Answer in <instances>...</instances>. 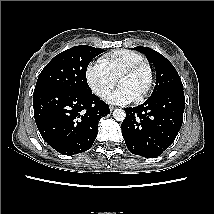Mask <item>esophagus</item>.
Instances as JSON below:
<instances>
[{
	"mask_svg": "<svg viewBox=\"0 0 214 214\" xmlns=\"http://www.w3.org/2000/svg\"><path fill=\"white\" fill-rule=\"evenodd\" d=\"M109 109H110V111H113V110H114V107H113V106H110Z\"/></svg>",
	"mask_w": 214,
	"mask_h": 214,
	"instance_id": "1",
	"label": "esophagus"
}]
</instances>
